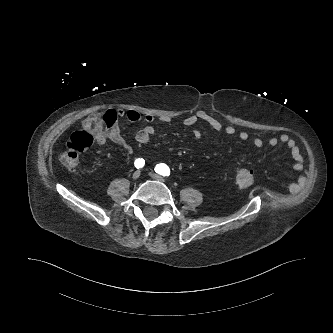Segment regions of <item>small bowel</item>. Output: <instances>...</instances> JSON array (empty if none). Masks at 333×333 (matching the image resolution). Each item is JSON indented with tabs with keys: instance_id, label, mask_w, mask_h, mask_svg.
<instances>
[{
	"instance_id": "small-bowel-1",
	"label": "small bowel",
	"mask_w": 333,
	"mask_h": 333,
	"mask_svg": "<svg viewBox=\"0 0 333 333\" xmlns=\"http://www.w3.org/2000/svg\"><path fill=\"white\" fill-rule=\"evenodd\" d=\"M118 114L120 116H125L128 119V121L132 123H137L143 120L146 123V125L136 133L135 140L139 144H147L149 142L150 138L155 133V128L152 124L155 121L156 117L153 114L141 115L139 112L135 110H129L126 113L120 110ZM159 120L163 123L169 122V118L167 116H160ZM199 122H204L208 124L213 130H215L218 133H224L228 136H238V138L242 141H247L249 139V134L246 131L238 132L235 127L231 125H224L216 117L203 111L197 112L193 115L186 117L183 120L182 124L184 127H192ZM195 136L197 138H200L201 137L200 131L198 130L195 131ZM106 139H109L113 143L121 146L126 150L131 149L130 144L122 136L118 126H116L113 131L108 133V135L105 138L99 139L98 142L102 144L106 141ZM215 143L217 145L220 144L218 138L215 139ZM252 143L256 148L263 147L265 143L271 147H275L278 144L285 145L291 154L293 168L297 171H301L303 169L304 164H303V157L300 153V148L297 142L287 133H282L278 136H269L266 139L257 136L252 139ZM300 183L301 179H299L298 182L293 183L291 185L292 189H295Z\"/></svg>"
}]
</instances>
